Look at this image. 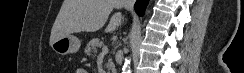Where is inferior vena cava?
Wrapping results in <instances>:
<instances>
[{"label":"inferior vena cava","instance_id":"obj_1","mask_svg":"<svg viewBox=\"0 0 244 73\" xmlns=\"http://www.w3.org/2000/svg\"><path fill=\"white\" fill-rule=\"evenodd\" d=\"M122 5L126 9L131 10V9H133V6H134V0H123Z\"/></svg>","mask_w":244,"mask_h":73}]
</instances>
